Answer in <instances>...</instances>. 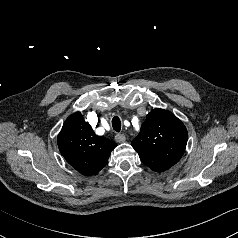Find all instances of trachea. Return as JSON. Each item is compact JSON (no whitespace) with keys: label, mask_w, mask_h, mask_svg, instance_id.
I'll list each match as a JSON object with an SVG mask.
<instances>
[{"label":"trachea","mask_w":238,"mask_h":238,"mask_svg":"<svg viewBox=\"0 0 238 238\" xmlns=\"http://www.w3.org/2000/svg\"><path fill=\"white\" fill-rule=\"evenodd\" d=\"M112 127L116 132H120V130H121V121H120L119 117H114L112 119Z\"/></svg>","instance_id":"trachea-1"}]
</instances>
